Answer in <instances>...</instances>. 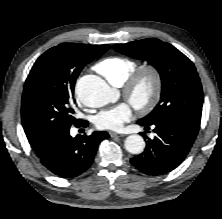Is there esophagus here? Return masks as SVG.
<instances>
[{
	"label": "esophagus",
	"instance_id": "esophagus-1",
	"mask_svg": "<svg viewBox=\"0 0 222 219\" xmlns=\"http://www.w3.org/2000/svg\"><path fill=\"white\" fill-rule=\"evenodd\" d=\"M109 135H110L112 138H115V137H123V136H124L123 134H118V133H115V132H109Z\"/></svg>",
	"mask_w": 222,
	"mask_h": 219
}]
</instances>
